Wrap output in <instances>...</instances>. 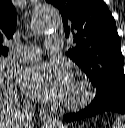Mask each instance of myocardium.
Segmentation results:
<instances>
[{
	"label": "myocardium",
	"instance_id": "1",
	"mask_svg": "<svg viewBox=\"0 0 125 128\" xmlns=\"http://www.w3.org/2000/svg\"><path fill=\"white\" fill-rule=\"evenodd\" d=\"M94 96V88L89 80L78 79L74 82L72 92L65 101L68 110H77L87 105Z\"/></svg>",
	"mask_w": 125,
	"mask_h": 128
}]
</instances>
